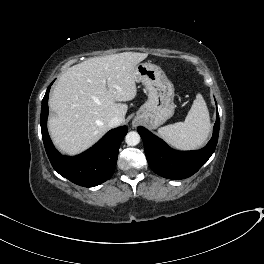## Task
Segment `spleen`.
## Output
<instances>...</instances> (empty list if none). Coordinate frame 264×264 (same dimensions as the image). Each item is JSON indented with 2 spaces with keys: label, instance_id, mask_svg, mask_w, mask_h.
Masks as SVG:
<instances>
[{
  "label": "spleen",
  "instance_id": "obj_1",
  "mask_svg": "<svg viewBox=\"0 0 264 264\" xmlns=\"http://www.w3.org/2000/svg\"><path fill=\"white\" fill-rule=\"evenodd\" d=\"M210 129L209 111L203 96L198 93L185 121L161 127L158 134L178 149L191 150L206 142Z\"/></svg>",
  "mask_w": 264,
  "mask_h": 264
}]
</instances>
